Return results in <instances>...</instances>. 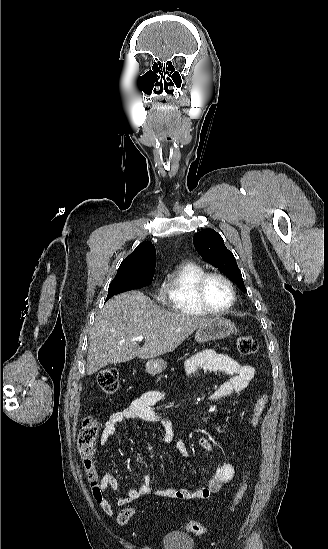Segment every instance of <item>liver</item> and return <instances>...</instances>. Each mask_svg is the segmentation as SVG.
Wrapping results in <instances>:
<instances>
[{
  "mask_svg": "<svg viewBox=\"0 0 328 549\" xmlns=\"http://www.w3.org/2000/svg\"><path fill=\"white\" fill-rule=\"evenodd\" d=\"M209 319L190 317L180 311H165L140 291H128L110 299L95 317L90 331L87 375L108 363L131 359H155L175 351ZM144 337L143 347L134 337Z\"/></svg>",
  "mask_w": 328,
  "mask_h": 549,
  "instance_id": "obj_1",
  "label": "liver"
}]
</instances>
